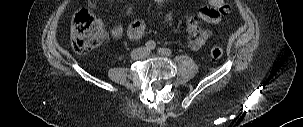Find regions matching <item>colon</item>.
<instances>
[{"label":"colon","mask_w":303,"mask_h":127,"mask_svg":"<svg viewBox=\"0 0 303 127\" xmlns=\"http://www.w3.org/2000/svg\"><path fill=\"white\" fill-rule=\"evenodd\" d=\"M103 37V27L100 19L89 11L82 9L78 11L72 21L71 38L74 49L81 54L87 53L97 47ZM210 57L218 60L223 51L218 46H211Z\"/></svg>","instance_id":"1"}]
</instances>
